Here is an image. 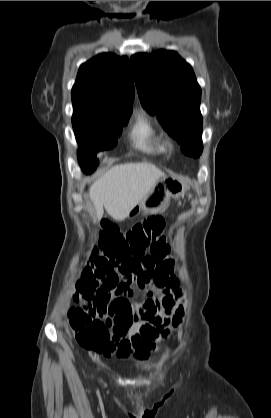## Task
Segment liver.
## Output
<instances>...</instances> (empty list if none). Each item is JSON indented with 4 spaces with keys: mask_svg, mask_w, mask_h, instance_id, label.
Listing matches in <instances>:
<instances>
[{
    "mask_svg": "<svg viewBox=\"0 0 271 418\" xmlns=\"http://www.w3.org/2000/svg\"><path fill=\"white\" fill-rule=\"evenodd\" d=\"M164 176V172L148 162H130L114 166L89 189L96 220L102 219L104 208L116 221L126 219L131 209Z\"/></svg>",
    "mask_w": 271,
    "mask_h": 418,
    "instance_id": "1",
    "label": "liver"
}]
</instances>
